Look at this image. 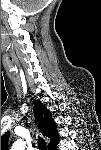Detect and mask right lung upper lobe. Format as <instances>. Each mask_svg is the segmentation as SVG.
I'll return each instance as SVG.
<instances>
[{"instance_id": "right-lung-upper-lobe-1", "label": "right lung upper lobe", "mask_w": 101, "mask_h": 150, "mask_svg": "<svg viewBox=\"0 0 101 150\" xmlns=\"http://www.w3.org/2000/svg\"><path fill=\"white\" fill-rule=\"evenodd\" d=\"M33 112L36 117V122L40 128L42 134L50 139L48 144L49 149H54L58 142V133L56 130V124L53 121L51 113L39 100L34 102ZM9 138V132L5 133L1 137V149L7 150V142Z\"/></svg>"}]
</instances>
